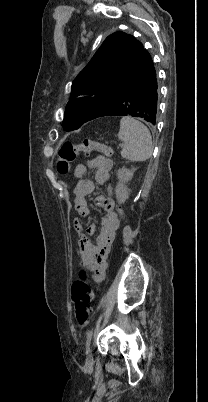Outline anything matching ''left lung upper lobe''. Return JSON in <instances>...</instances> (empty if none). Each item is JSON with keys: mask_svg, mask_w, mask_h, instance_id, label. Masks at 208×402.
Listing matches in <instances>:
<instances>
[{"mask_svg": "<svg viewBox=\"0 0 208 402\" xmlns=\"http://www.w3.org/2000/svg\"><path fill=\"white\" fill-rule=\"evenodd\" d=\"M142 44L116 32L108 36L72 84L63 121L67 131L80 128L110 106L142 63Z\"/></svg>", "mask_w": 208, "mask_h": 402, "instance_id": "left-lung-upper-lobe-1", "label": "left lung upper lobe"}]
</instances>
